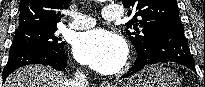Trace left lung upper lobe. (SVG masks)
<instances>
[{
    "instance_id": "1",
    "label": "left lung upper lobe",
    "mask_w": 205,
    "mask_h": 87,
    "mask_svg": "<svg viewBox=\"0 0 205 87\" xmlns=\"http://www.w3.org/2000/svg\"><path fill=\"white\" fill-rule=\"evenodd\" d=\"M122 4L130 9L129 15L135 13L126 26L132 29L128 36L137 54H143L165 28L182 25L176 0H122Z\"/></svg>"
}]
</instances>
